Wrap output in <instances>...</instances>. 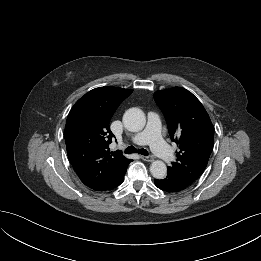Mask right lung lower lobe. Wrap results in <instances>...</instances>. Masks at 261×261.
<instances>
[{"label":"right lung lower lobe","instance_id":"right-lung-lower-lobe-1","mask_svg":"<svg viewBox=\"0 0 261 261\" xmlns=\"http://www.w3.org/2000/svg\"><path fill=\"white\" fill-rule=\"evenodd\" d=\"M124 175H125V173H124ZM124 175H122V177H120L115 183H113V184L107 186L106 188H104V189H102V190H104V191H105V190H110V189H113V188L119 186V185L122 183V181H123Z\"/></svg>","mask_w":261,"mask_h":261}]
</instances>
